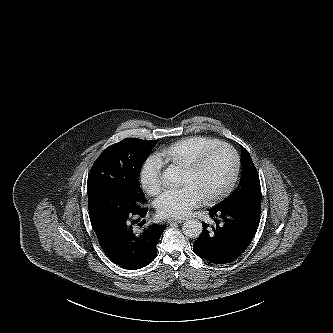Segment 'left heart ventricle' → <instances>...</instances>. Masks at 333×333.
<instances>
[{
    "label": "left heart ventricle",
    "instance_id": "b2bd125f",
    "mask_svg": "<svg viewBox=\"0 0 333 333\" xmlns=\"http://www.w3.org/2000/svg\"><path fill=\"white\" fill-rule=\"evenodd\" d=\"M234 168V154L228 148H221L212 153L197 172L189 173L182 170L180 184L194 187L203 198H206L227 184Z\"/></svg>",
    "mask_w": 333,
    "mask_h": 333
}]
</instances>
